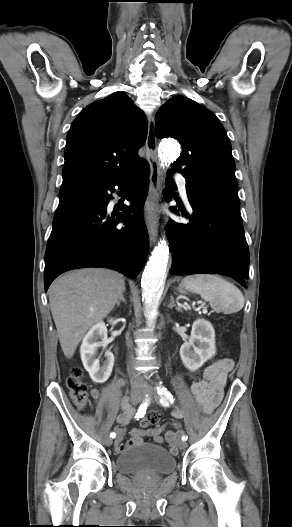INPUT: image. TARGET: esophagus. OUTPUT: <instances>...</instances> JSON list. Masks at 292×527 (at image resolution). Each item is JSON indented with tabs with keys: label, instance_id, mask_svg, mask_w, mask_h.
I'll list each match as a JSON object with an SVG mask.
<instances>
[{
	"label": "esophagus",
	"instance_id": "1",
	"mask_svg": "<svg viewBox=\"0 0 292 527\" xmlns=\"http://www.w3.org/2000/svg\"><path fill=\"white\" fill-rule=\"evenodd\" d=\"M147 159L150 165V188L145 202V223L151 244L156 241L158 234L157 204L159 198L160 168L157 155V140L155 135V121L150 117L146 138Z\"/></svg>",
	"mask_w": 292,
	"mask_h": 527
}]
</instances>
